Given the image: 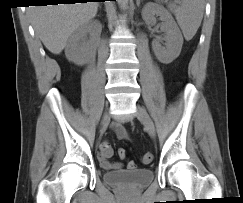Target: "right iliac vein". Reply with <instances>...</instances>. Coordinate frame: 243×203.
<instances>
[{"instance_id": "1", "label": "right iliac vein", "mask_w": 243, "mask_h": 203, "mask_svg": "<svg viewBox=\"0 0 243 203\" xmlns=\"http://www.w3.org/2000/svg\"><path fill=\"white\" fill-rule=\"evenodd\" d=\"M110 121V116L108 112H105L103 114L102 120H101V126L104 127L106 126Z\"/></svg>"}]
</instances>
